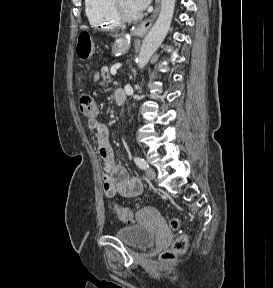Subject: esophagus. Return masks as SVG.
I'll list each match as a JSON object with an SVG mask.
<instances>
[{
	"label": "esophagus",
	"mask_w": 273,
	"mask_h": 288,
	"mask_svg": "<svg viewBox=\"0 0 273 288\" xmlns=\"http://www.w3.org/2000/svg\"><path fill=\"white\" fill-rule=\"evenodd\" d=\"M160 10V0H155V9L150 18L142 22L136 29L134 30L136 34L143 36L147 33V31L150 29L152 26L153 22L155 21L158 13Z\"/></svg>",
	"instance_id": "esophagus-1"
}]
</instances>
